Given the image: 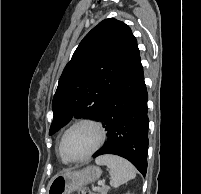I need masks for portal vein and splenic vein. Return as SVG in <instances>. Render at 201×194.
I'll return each instance as SVG.
<instances>
[{
	"mask_svg": "<svg viewBox=\"0 0 201 194\" xmlns=\"http://www.w3.org/2000/svg\"><path fill=\"white\" fill-rule=\"evenodd\" d=\"M98 185H99V186H103L104 183H103L102 181H99V182H98Z\"/></svg>",
	"mask_w": 201,
	"mask_h": 194,
	"instance_id": "1",
	"label": "portal vein and splenic vein"
}]
</instances>
